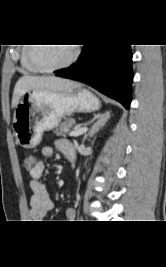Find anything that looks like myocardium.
Here are the masks:
<instances>
[{"label":"myocardium","instance_id":"myocardium-1","mask_svg":"<svg viewBox=\"0 0 166 267\" xmlns=\"http://www.w3.org/2000/svg\"><path fill=\"white\" fill-rule=\"evenodd\" d=\"M35 45L36 44H32V46H29L28 59L34 67H36L37 69H39L40 71H43V72H54V71H58V70L67 68V67L71 66L77 60L78 55H79V48L77 46H74L73 52H72L70 58L66 62L61 63L59 65H55V66H45V65L39 63L35 58V54H34V51L36 48Z\"/></svg>","mask_w":166,"mask_h":267}]
</instances>
